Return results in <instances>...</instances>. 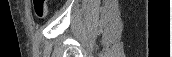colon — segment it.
<instances>
[{"label":"colon","instance_id":"5ec220e1","mask_svg":"<svg viewBox=\"0 0 172 57\" xmlns=\"http://www.w3.org/2000/svg\"><path fill=\"white\" fill-rule=\"evenodd\" d=\"M33 9L38 18L45 17L47 13V0H34Z\"/></svg>","mask_w":172,"mask_h":57}]
</instances>
